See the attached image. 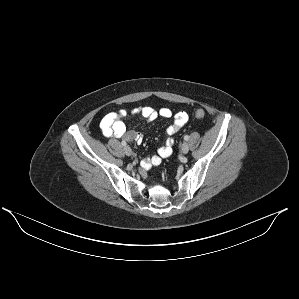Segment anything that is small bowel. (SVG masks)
<instances>
[{"label": "small bowel", "mask_w": 299, "mask_h": 299, "mask_svg": "<svg viewBox=\"0 0 299 299\" xmlns=\"http://www.w3.org/2000/svg\"><path fill=\"white\" fill-rule=\"evenodd\" d=\"M130 115L142 116L148 120H154L158 116L163 118L173 117L172 123L166 129L164 145L158 149L157 154L144 159L141 163L140 173L145 177L147 170L153 166H159L163 159L169 158L173 154L174 136L182 129L188 116L185 112H178L173 115L168 108H161L159 111L151 107H136L130 111L121 109L118 112L108 113L103 117L100 123L103 134L107 137L123 139L128 143H140L142 135L135 130H127L123 122V119Z\"/></svg>", "instance_id": "obj_1"}]
</instances>
